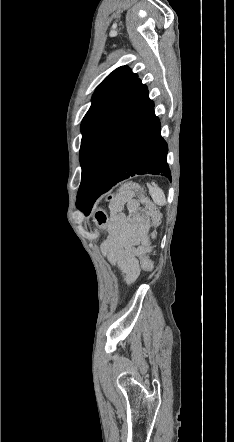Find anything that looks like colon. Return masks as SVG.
Masks as SVG:
<instances>
[{
  "label": "colon",
  "instance_id": "1",
  "mask_svg": "<svg viewBox=\"0 0 234 442\" xmlns=\"http://www.w3.org/2000/svg\"><path fill=\"white\" fill-rule=\"evenodd\" d=\"M137 193L141 196V200L145 209V214L147 216L146 231L144 234V239L146 243H149L151 235L149 230L156 227L160 222V212L158 207L147 197L142 194V189L140 185L136 182H126L118 189L116 194L110 199L113 201L125 198L128 195ZM94 219L99 227H103L107 221V215L103 210H97L94 214ZM143 268L144 273L149 274L152 271L153 262L150 261V255L144 254L143 261L140 263Z\"/></svg>",
  "mask_w": 234,
  "mask_h": 442
}]
</instances>
